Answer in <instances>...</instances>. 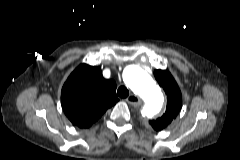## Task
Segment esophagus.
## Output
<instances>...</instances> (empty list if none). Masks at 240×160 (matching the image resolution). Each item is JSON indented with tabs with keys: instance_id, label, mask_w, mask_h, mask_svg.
<instances>
[{
	"instance_id": "esophagus-1",
	"label": "esophagus",
	"mask_w": 240,
	"mask_h": 160,
	"mask_svg": "<svg viewBox=\"0 0 240 160\" xmlns=\"http://www.w3.org/2000/svg\"><path fill=\"white\" fill-rule=\"evenodd\" d=\"M126 102L130 105L138 106V105H140L141 100L137 95L131 94L127 97Z\"/></svg>"
}]
</instances>
